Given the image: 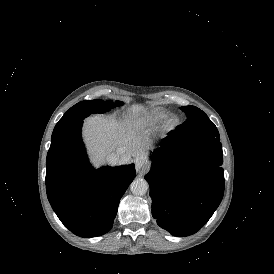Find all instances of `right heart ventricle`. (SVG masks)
Here are the masks:
<instances>
[{
    "instance_id": "1",
    "label": "right heart ventricle",
    "mask_w": 274,
    "mask_h": 274,
    "mask_svg": "<svg viewBox=\"0 0 274 274\" xmlns=\"http://www.w3.org/2000/svg\"><path fill=\"white\" fill-rule=\"evenodd\" d=\"M166 116L162 108H152L144 115L132 122L130 129L134 133H143L159 126Z\"/></svg>"
}]
</instances>
